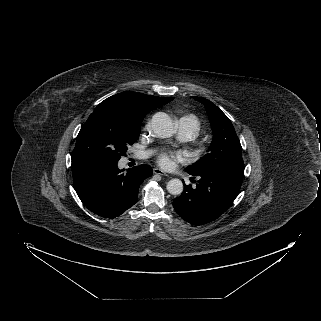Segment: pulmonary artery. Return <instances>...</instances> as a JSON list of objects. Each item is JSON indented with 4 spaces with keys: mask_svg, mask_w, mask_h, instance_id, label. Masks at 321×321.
<instances>
[{
    "mask_svg": "<svg viewBox=\"0 0 321 321\" xmlns=\"http://www.w3.org/2000/svg\"><path fill=\"white\" fill-rule=\"evenodd\" d=\"M179 127H180V136L185 139V140H190L192 138L195 137L197 129L196 127L191 124L190 122L181 119L179 121ZM151 152L150 151H146V152H141V153H137L135 155L136 158H146Z\"/></svg>",
    "mask_w": 321,
    "mask_h": 321,
    "instance_id": "pulmonary-artery-1",
    "label": "pulmonary artery"
}]
</instances>
